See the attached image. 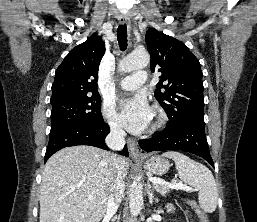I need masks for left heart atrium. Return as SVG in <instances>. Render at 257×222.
<instances>
[{"label":"left heart atrium","instance_id":"left-heart-atrium-1","mask_svg":"<svg viewBox=\"0 0 257 222\" xmlns=\"http://www.w3.org/2000/svg\"><path fill=\"white\" fill-rule=\"evenodd\" d=\"M121 118L124 126L133 133H141L152 120V110L142 94H137L120 103Z\"/></svg>","mask_w":257,"mask_h":222}]
</instances>
